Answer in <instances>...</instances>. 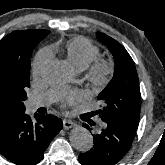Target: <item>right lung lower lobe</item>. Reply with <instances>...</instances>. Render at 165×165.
<instances>
[{"mask_svg": "<svg viewBox=\"0 0 165 165\" xmlns=\"http://www.w3.org/2000/svg\"><path fill=\"white\" fill-rule=\"evenodd\" d=\"M36 121L22 112L0 124V154L17 165H36L63 122L54 115L35 114Z\"/></svg>", "mask_w": 165, "mask_h": 165, "instance_id": "1", "label": "right lung lower lobe"}]
</instances>
